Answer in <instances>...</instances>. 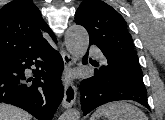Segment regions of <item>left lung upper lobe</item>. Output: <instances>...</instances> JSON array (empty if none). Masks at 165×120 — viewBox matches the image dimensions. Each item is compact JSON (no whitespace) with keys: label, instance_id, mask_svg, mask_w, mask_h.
Wrapping results in <instances>:
<instances>
[{"label":"left lung upper lobe","instance_id":"5c2ea615","mask_svg":"<svg viewBox=\"0 0 165 120\" xmlns=\"http://www.w3.org/2000/svg\"><path fill=\"white\" fill-rule=\"evenodd\" d=\"M75 22L88 31L89 42L111 56L124 73L143 80L126 22L113 7L100 0H84Z\"/></svg>","mask_w":165,"mask_h":120}]
</instances>
